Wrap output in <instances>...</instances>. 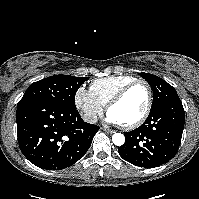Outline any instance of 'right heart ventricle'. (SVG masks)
Segmentation results:
<instances>
[{
  "mask_svg": "<svg viewBox=\"0 0 199 199\" xmlns=\"http://www.w3.org/2000/svg\"><path fill=\"white\" fill-rule=\"evenodd\" d=\"M134 80L135 78L126 75L97 79L91 83L90 92L105 106L124 86Z\"/></svg>",
  "mask_w": 199,
  "mask_h": 199,
  "instance_id": "right-heart-ventricle-1",
  "label": "right heart ventricle"
}]
</instances>
